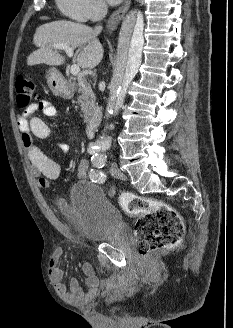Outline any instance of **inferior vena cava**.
I'll return each mask as SVG.
<instances>
[{
	"label": "inferior vena cava",
	"instance_id": "obj_1",
	"mask_svg": "<svg viewBox=\"0 0 233 328\" xmlns=\"http://www.w3.org/2000/svg\"><path fill=\"white\" fill-rule=\"evenodd\" d=\"M107 14V5L103 1H98L95 3L93 8V19L96 21H101ZM102 29L101 25L95 27V31L100 32Z\"/></svg>",
	"mask_w": 233,
	"mask_h": 328
}]
</instances>
